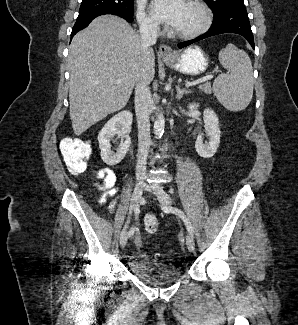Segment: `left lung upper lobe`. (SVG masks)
<instances>
[{
    "label": "left lung upper lobe",
    "instance_id": "obj_1",
    "mask_svg": "<svg viewBox=\"0 0 298 325\" xmlns=\"http://www.w3.org/2000/svg\"><path fill=\"white\" fill-rule=\"evenodd\" d=\"M214 10V16L219 15L224 10L236 6L244 5L243 0H205Z\"/></svg>",
    "mask_w": 298,
    "mask_h": 325
}]
</instances>
